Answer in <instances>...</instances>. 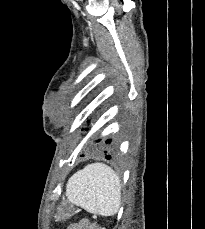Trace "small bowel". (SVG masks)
<instances>
[{
	"instance_id": "c3829d8e",
	"label": "small bowel",
	"mask_w": 205,
	"mask_h": 229,
	"mask_svg": "<svg viewBox=\"0 0 205 229\" xmlns=\"http://www.w3.org/2000/svg\"><path fill=\"white\" fill-rule=\"evenodd\" d=\"M70 229H98L96 226L90 224L87 221L80 222L74 226H72Z\"/></svg>"
}]
</instances>
